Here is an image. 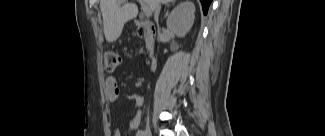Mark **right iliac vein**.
<instances>
[{"label":"right iliac vein","mask_w":325,"mask_h":136,"mask_svg":"<svg viewBox=\"0 0 325 136\" xmlns=\"http://www.w3.org/2000/svg\"><path fill=\"white\" fill-rule=\"evenodd\" d=\"M145 133H146V136H151L152 135L151 129H150L149 126L146 127Z\"/></svg>","instance_id":"1"}]
</instances>
